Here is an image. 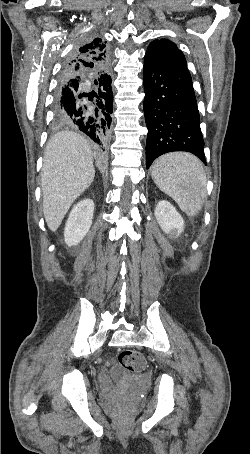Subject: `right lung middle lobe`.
Returning a JSON list of instances; mask_svg holds the SVG:
<instances>
[{
    "label": "right lung middle lobe",
    "mask_w": 250,
    "mask_h": 454,
    "mask_svg": "<svg viewBox=\"0 0 250 454\" xmlns=\"http://www.w3.org/2000/svg\"><path fill=\"white\" fill-rule=\"evenodd\" d=\"M55 122H56L57 124H59V122L57 121V119H56V118H55Z\"/></svg>",
    "instance_id": "dd1d6c3e"
}]
</instances>
